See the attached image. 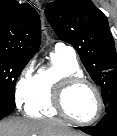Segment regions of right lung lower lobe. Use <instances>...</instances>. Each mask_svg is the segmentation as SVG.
Masks as SVG:
<instances>
[{"instance_id":"98d812e1","label":"right lung lower lobe","mask_w":117,"mask_h":136,"mask_svg":"<svg viewBox=\"0 0 117 136\" xmlns=\"http://www.w3.org/2000/svg\"><path fill=\"white\" fill-rule=\"evenodd\" d=\"M15 109V101L0 98V119L12 113Z\"/></svg>"}]
</instances>
